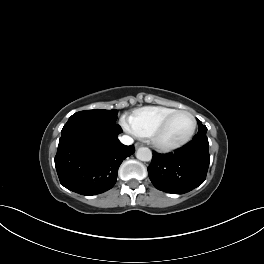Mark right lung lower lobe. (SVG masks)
I'll use <instances>...</instances> for the list:
<instances>
[{
    "label": "right lung lower lobe",
    "instance_id": "98d812e1",
    "mask_svg": "<svg viewBox=\"0 0 264 264\" xmlns=\"http://www.w3.org/2000/svg\"><path fill=\"white\" fill-rule=\"evenodd\" d=\"M55 157L61 184L82 195H96L116 183L121 162L135 152L117 138V124L72 119L64 125Z\"/></svg>",
    "mask_w": 264,
    "mask_h": 264
}]
</instances>
